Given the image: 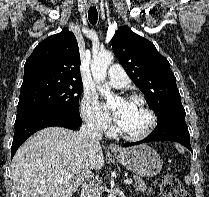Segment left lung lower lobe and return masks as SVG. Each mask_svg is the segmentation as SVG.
I'll return each instance as SVG.
<instances>
[{
	"label": "left lung lower lobe",
	"mask_w": 209,
	"mask_h": 197,
	"mask_svg": "<svg viewBox=\"0 0 209 197\" xmlns=\"http://www.w3.org/2000/svg\"><path fill=\"white\" fill-rule=\"evenodd\" d=\"M185 112L170 113L158 119V123L154 131L145 139L126 143L124 147L138 145L151 141H175L179 142L192 152L190 145V134L185 122Z\"/></svg>",
	"instance_id": "obj_1"
}]
</instances>
